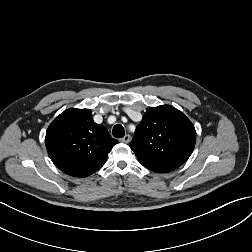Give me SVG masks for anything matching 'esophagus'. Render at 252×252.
<instances>
[{"label":"esophagus","mask_w":252,"mask_h":252,"mask_svg":"<svg viewBox=\"0 0 252 252\" xmlns=\"http://www.w3.org/2000/svg\"><path fill=\"white\" fill-rule=\"evenodd\" d=\"M120 141L124 143H129L131 141V136L127 134L123 138H121Z\"/></svg>","instance_id":"esophagus-1"}]
</instances>
